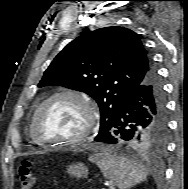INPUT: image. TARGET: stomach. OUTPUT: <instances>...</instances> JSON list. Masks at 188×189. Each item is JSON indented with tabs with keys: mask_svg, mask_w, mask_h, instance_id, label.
<instances>
[{
	"mask_svg": "<svg viewBox=\"0 0 188 189\" xmlns=\"http://www.w3.org/2000/svg\"><path fill=\"white\" fill-rule=\"evenodd\" d=\"M67 171L70 175L77 177V178L86 176L88 173V169L82 163L69 165L67 168Z\"/></svg>",
	"mask_w": 188,
	"mask_h": 189,
	"instance_id": "stomach-1",
	"label": "stomach"
}]
</instances>
